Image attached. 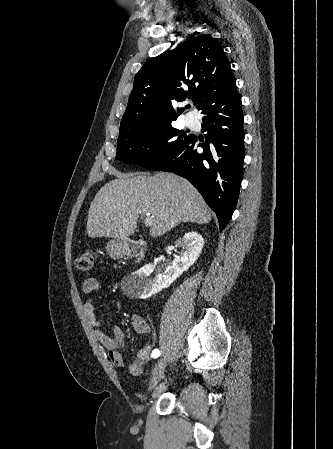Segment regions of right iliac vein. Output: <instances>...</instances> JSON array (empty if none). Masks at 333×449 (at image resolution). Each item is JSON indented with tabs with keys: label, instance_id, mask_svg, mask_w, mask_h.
Masks as SVG:
<instances>
[{
	"label": "right iliac vein",
	"instance_id": "63e3f726",
	"mask_svg": "<svg viewBox=\"0 0 333 449\" xmlns=\"http://www.w3.org/2000/svg\"><path fill=\"white\" fill-rule=\"evenodd\" d=\"M165 367H166V359L162 358L158 360L155 368L153 369L152 376L149 382V391H152L156 387L157 383L159 382L165 371Z\"/></svg>",
	"mask_w": 333,
	"mask_h": 449
}]
</instances>
